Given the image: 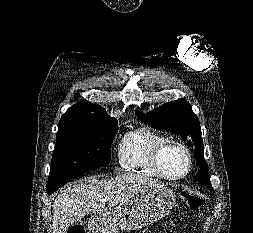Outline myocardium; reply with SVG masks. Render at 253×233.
I'll use <instances>...</instances> for the list:
<instances>
[{"label": "myocardium", "instance_id": "obj_1", "mask_svg": "<svg viewBox=\"0 0 253 233\" xmlns=\"http://www.w3.org/2000/svg\"><path fill=\"white\" fill-rule=\"evenodd\" d=\"M181 152L186 158V168L179 174H168L166 172L165 161L172 152ZM193 158L190 150L183 144L177 142H167L158 147L152 155V165L159 175L167 180H179L187 176L192 168Z\"/></svg>", "mask_w": 253, "mask_h": 233}]
</instances>
